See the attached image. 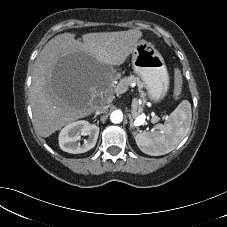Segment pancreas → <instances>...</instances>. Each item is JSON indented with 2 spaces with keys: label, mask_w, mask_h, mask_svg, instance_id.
<instances>
[{
  "label": "pancreas",
  "mask_w": 227,
  "mask_h": 227,
  "mask_svg": "<svg viewBox=\"0 0 227 227\" xmlns=\"http://www.w3.org/2000/svg\"><path fill=\"white\" fill-rule=\"evenodd\" d=\"M133 83L137 85L138 90L140 92V96L144 99L145 95H146L145 92L143 91L145 84L139 77H136L134 75H130L129 77H125V78L121 79L119 84L123 88L128 89V87ZM139 110L142 111V108L139 107Z\"/></svg>",
  "instance_id": "obj_1"
}]
</instances>
